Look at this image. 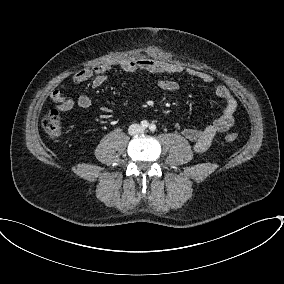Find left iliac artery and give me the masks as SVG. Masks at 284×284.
I'll return each mask as SVG.
<instances>
[{
	"mask_svg": "<svg viewBox=\"0 0 284 284\" xmlns=\"http://www.w3.org/2000/svg\"><path fill=\"white\" fill-rule=\"evenodd\" d=\"M150 131L154 132L156 130V126L154 124H151L149 126Z\"/></svg>",
	"mask_w": 284,
	"mask_h": 284,
	"instance_id": "44dca946",
	"label": "left iliac artery"
}]
</instances>
